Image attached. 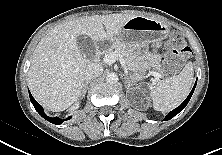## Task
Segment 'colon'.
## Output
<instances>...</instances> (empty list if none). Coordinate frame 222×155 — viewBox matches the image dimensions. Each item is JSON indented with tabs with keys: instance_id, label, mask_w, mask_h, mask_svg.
Segmentation results:
<instances>
[{
	"instance_id": "obj_1",
	"label": "colon",
	"mask_w": 222,
	"mask_h": 155,
	"mask_svg": "<svg viewBox=\"0 0 222 155\" xmlns=\"http://www.w3.org/2000/svg\"><path fill=\"white\" fill-rule=\"evenodd\" d=\"M191 56L192 51L185 40L178 35H173L167 42V52L163 57L165 72L168 74L177 73Z\"/></svg>"
}]
</instances>
